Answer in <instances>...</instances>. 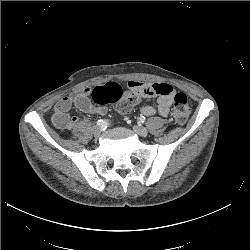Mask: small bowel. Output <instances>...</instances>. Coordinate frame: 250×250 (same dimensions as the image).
I'll list each match as a JSON object with an SVG mask.
<instances>
[{
	"label": "small bowel",
	"instance_id": "c3829d8e",
	"mask_svg": "<svg viewBox=\"0 0 250 250\" xmlns=\"http://www.w3.org/2000/svg\"><path fill=\"white\" fill-rule=\"evenodd\" d=\"M128 87L131 91L139 93L143 97H156L157 106L144 105L141 108V113L145 116H153L159 114L163 117L168 116L170 107L175 96V91L170 84L167 83H143L131 80L128 82ZM90 88H85L75 92L69 96L61 98L54 106V114L52 123L58 129H72L78 122L76 116L69 114L72 106H75L80 111L90 114L104 115L107 109L103 106L94 105L89 96Z\"/></svg>",
	"mask_w": 250,
	"mask_h": 250
}]
</instances>
